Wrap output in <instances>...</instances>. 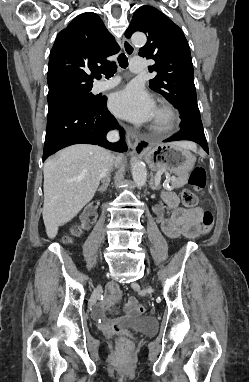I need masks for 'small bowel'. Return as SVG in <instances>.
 I'll use <instances>...</instances> for the list:
<instances>
[{
    "label": "small bowel",
    "mask_w": 249,
    "mask_h": 382,
    "mask_svg": "<svg viewBox=\"0 0 249 382\" xmlns=\"http://www.w3.org/2000/svg\"><path fill=\"white\" fill-rule=\"evenodd\" d=\"M164 201L171 209L169 216H160L159 223L163 232L171 238L184 236L186 238H196L201 234V219L203 210L200 207H182L178 198L171 193L164 195ZM106 298L99 305V310H104L118 296L119 290L115 283H111L106 288ZM136 305V300L131 298L128 302V310H132Z\"/></svg>",
    "instance_id": "1"
}]
</instances>
